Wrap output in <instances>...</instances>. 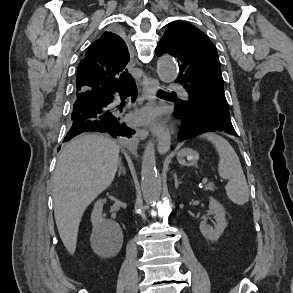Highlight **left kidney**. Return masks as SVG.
I'll return each instance as SVG.
<instances>
[{
  "instance_id": "5707ae66",
  "label": "left kidney",
  "mask_w": 293,
  "mask_h": 293,
  "mask_svg": "<svg viewBox=\"0 0 293 293\" xmlns=\"http://www.w3.org/2000/svg\"><path fill=\"white\" fill-rule=\"evenodd\" d=\"M209 214L214 215V227L210 226L206 219L200 223L202 235L210 240L217 241L227 227L226 212L222 205L213 197L209 198Z\"/></svg>"
}]
</instances>
